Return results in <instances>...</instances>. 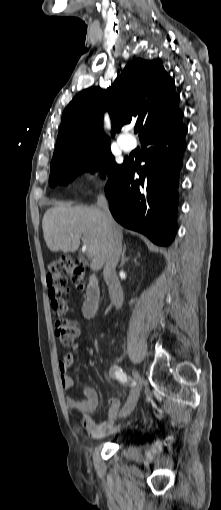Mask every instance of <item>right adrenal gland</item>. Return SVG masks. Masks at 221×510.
Here are the masks:
<instances>
[{
  "mask_svg": "<svg viewBox=\"0 0 221 510\" xmlns=\"http://www.w3.org/2000/svg\"><path fill=\"white\" fill-rule=\"evenodd\" d=\"M125 252H126V244L124 245L123 247V251L121 253V265H123L125 263V261H128L129 260V257H125Z\"/></svg>",
  "mask_w": 221,
  "mask_h": 510,
  "instance_id": "1",
  "label": "right adrenal gland"
}]
</instances>
